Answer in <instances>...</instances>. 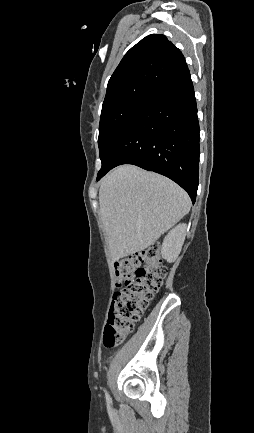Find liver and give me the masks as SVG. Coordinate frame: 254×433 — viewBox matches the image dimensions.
Here are the masks:
<instances>
[{
	"instance_id": "1",
	"label": "liver",
	"mask_w": 254,
	"mask_h": 433,
	"mask_svg": "<svg viewBox=\"0 0 254 433\" xmlns=\"http://www.w3.org/2000/svg\"><path fill=\"white\" fill-rule=\"evenodd\" d=\"M99 204L113 261L149 247L191 207L188 194L173 181L133 165L104 177Z\"/></svg>"
}]
</instances>
